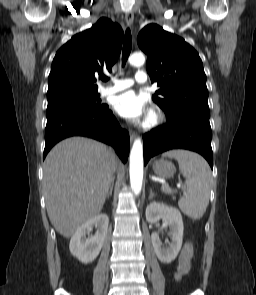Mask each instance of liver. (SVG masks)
I'll return each instance as SVG.
<instances>
[{
	"label": "liver",
	"instance_id": "liver-1",
	"mask_svg": "<svg viewBox=\"0 0 256 295\" xmlns=\"http://www.w3.org/2000/svg\"><path fill=\"white\" fill-rule=\"evenodd\" d=\"M118 162L104 144L83 137L59 142L44 162L48 217L69 238L104 205Z\"/></svg>",
	"mask_w": 256,
	"mask_h": 295
}]
</instances>
